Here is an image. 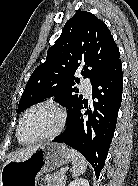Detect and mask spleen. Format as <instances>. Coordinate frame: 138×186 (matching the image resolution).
<instances>
[{"label":"spleen","instance_id":"spleen-1","mask_svg":"<svg viewBox=\"0 0 138 186\" xmlns=\"http://www.w3.org/2000/svg\"><path fill=\"white\" fill-rule=\"evenodd\" d=\"M72 160V176L78 177L83 174L87 169V161L79 152L74 149H70Z\"/></svg>","mask_w":138,"mask_h":186}]
</instances>
